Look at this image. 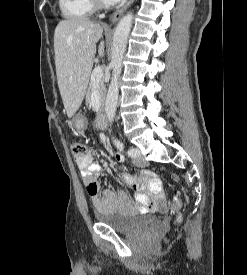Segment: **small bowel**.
Instances as JSON below:
<instances>
[{
	"instance_id": "small-bowel-1",
	"label": "small bowel",
	"mask_w": 247,
	"mask_h": 275,
	"mask_svg": "<svg viewBox=\"0 0 247 275\" xmlns=\"http://www.w3.org/2000/svg\"><path fill=\"white\" fill-rule=\"evenodd\" d=\"M119 162L124 161L121 154L116 155ZM83 182L87 185L94 184L96 192L89 194L95 209L102 213H131L135 211L154 212L166 206L165 195L159 177L150 170L139 173L141 182L130 176H124V182L134 189L135 202L125 191L114 192L110 189H100L99 176L101 166L94 160L92 154L76 161Z\"/></svg>"
}]
</instances>
